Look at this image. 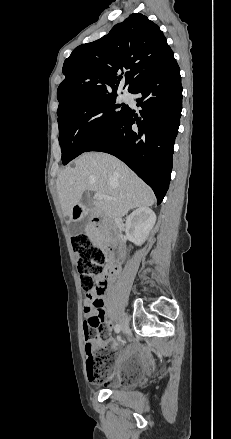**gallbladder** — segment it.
<instances>
[{
  "label": "gallbladder",
  "mask_w": 231,
  "mask_h": 439,
  "mask_svg": "<svg viewBox=\"0 0 231 439\" xmlns=\"http://www.w3.org/2000/svg\"><path fill=\"white\" fill-rule=\"evenodd\" d=\"M80 203L82 204L83 207H85L86 210L90 209V206H91L90 205V200H89V197L87 195H84L81 198ZM88 220H89V215L85 216L82 220H80L78 222L70 224V226H69L70 234L71 235H76V234H79V233L83 232V230H84Z\"/></svg>",
  "instance_id": "1"
}]
</instances>
